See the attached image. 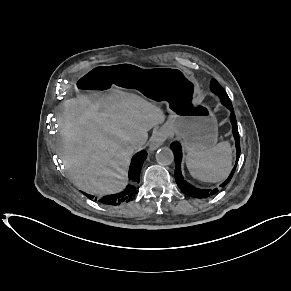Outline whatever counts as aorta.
Here are the masks:
<instances>
[{
	"label": "aorta",
	"mask_w": 291,
	"mask_h": 291,
	"mask_svg": "<svg viewBox=\"0 0 291 291\" xmlns=\"http://www.w3.org/2000/svg\"><path fill=\"white\" fill-rule=\"evenodd\" d=\"M156 160L159 164L169 165L174 160L173 152L168 147L160 148L156 153Z\"/></svg>",
	"instance_id": "obj_1"
}]
</instances>
